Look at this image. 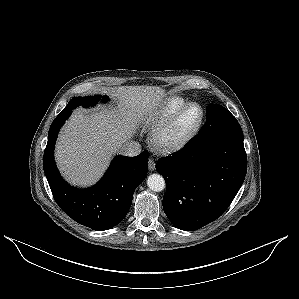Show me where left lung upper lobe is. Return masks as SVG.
<instances>
[{"label":"left lung upper lobe","instance_id":"left-lung-upper-lobe-1","mask_svg":"<svg viewBox=\"0 0 299 299\" xmlns=\"http://www.w3.org/2000/svg\"><path fill=\"white\" fill-rule=\"evenodd\" d=\"M207 113V120L205 125L202 127L199 133L206 130L209 126H211L214 122L219 120L221 117L230 114V111H228L226 108H224L221 105L217 104H209L206 108Z\"/></svg>","mask_w":299,"mask_h":299}]
</instances>
